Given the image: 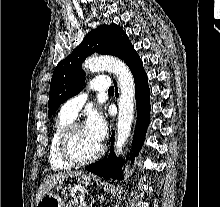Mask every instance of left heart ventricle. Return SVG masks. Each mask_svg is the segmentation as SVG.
I'll use <instances>...</instances> for the list:
<instances>
[{
    "label": "left heart ventricle",
    "mask_w": 220,
    "mask_h": 207,
    "mask_svg": "<svg viewBox=\"0 0 220 207\" xmlns=\"http://www.w3.org/2000/svg\"><path fill=\"white\" fill-rule=\"evenodd\" d=\"M100 144L92 139L83 127L74 130L71 138V151L79 159H86L97 152Z\"/></svg>",
    "instance_id": "1"
}]
</instances>
